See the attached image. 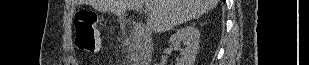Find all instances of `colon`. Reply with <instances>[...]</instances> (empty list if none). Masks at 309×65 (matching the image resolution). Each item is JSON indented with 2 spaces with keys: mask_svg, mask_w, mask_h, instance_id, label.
I'll use <instances>...</instances> for the list:
<instances>
[{
  "mask_svg": "<svg viewBox=\"0 0 309 65\" xmlns=\"http://www.w3.org/2000/svg\"><path fill=\"white\" fill-rule=\"evenodd\" d=\"M103 24V20L94 13L80 11L76 14L74 19L76 45L81 51L93 53L101 49L98 26Z\"/></svg>",
  "mask_w": 309,
  "mask_h": 65,
  "instance_id": "1",
  "label": "colon"
}]
</instances>
